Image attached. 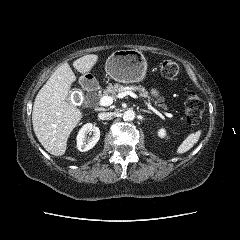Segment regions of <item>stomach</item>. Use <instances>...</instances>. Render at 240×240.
Instances as JSON below:
<instances>
[{"instance_id":"stomach-1","label":"stomach","mask_w":240,"mask_h":240,"mask_svg":"<svg viewBox=\"0 0 240 240\" xmlns=\"http://www.w3.org/2000/svg\"><path fill=\"white\" fill-rule=\"evenodd\" d=\"M105 70L107 75L117 82L135 83L145 79L147 62L137 50H118L107 59ZM151 93L158 96L156 89H152Z\"/></svg>"}]
</instances>
